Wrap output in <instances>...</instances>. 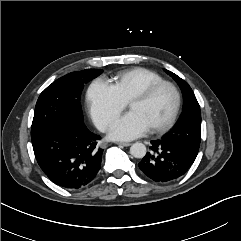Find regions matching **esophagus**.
Masks as SVG:
<instances>
[{"label": "esophagus", "mask_w": 241, "mask_h": 241, "mask_svg": "<svg viewBox=\"0 0 241 241\" xmlns=\"http://www.w3.org/2000/svg\"><path fill=\"white\" fill-rule=\"evenodd\" d=\"M117 144H118V145H121V146H125V147L131 145V143H129V142H118Z\"/></svg>", "instance_id": "obj_1"}]
</instances>
